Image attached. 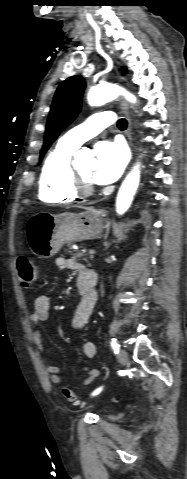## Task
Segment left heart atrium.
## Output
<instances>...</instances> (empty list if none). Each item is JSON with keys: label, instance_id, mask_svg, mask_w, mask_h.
Wrapping results in <instances>:
<instances>
[{"label": "left heart atrium", "instance_id": "1", "mask_svg": "<svg viewBox=\"0 0 187 479\" xmlns=\"http://www.w3.org/2000/svg\"><path fill=\"white\" fill-rule=\"evenodd\" d=\"M97 162L92 180L97 184H109L122 174L127 155L124 147L116 142L100 141L94 147Z\"/></svg>", "mask_w": 187, "mask_h": 479}]
</instances>
